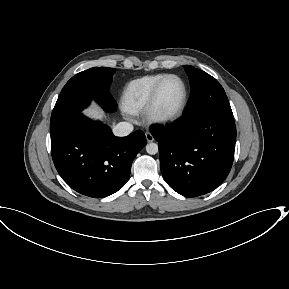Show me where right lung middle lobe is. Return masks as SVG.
Wrapping results in <instances>:
<instances>
[{
	"mask_svg": "<svg viewBox=\"0 0 289 289\" xmlns=\"http://www.w3.org/2000/svg\"><path fill=\"white\" fill-rule=\"evenodd\" d=\"M114 68L96 67L82 71L72 77L63 87L50 121V134L72 121L92 99L112 112L116 104L107 92Z\"/></svg>",
	"mask_w": 289,
	"mask_h": 289,
	"instance_id": "obj_1",
	"label": "right lung middle lobe"
}]
</instances>
